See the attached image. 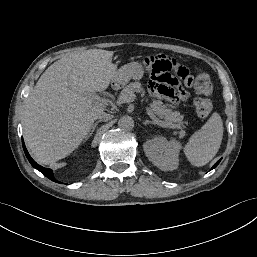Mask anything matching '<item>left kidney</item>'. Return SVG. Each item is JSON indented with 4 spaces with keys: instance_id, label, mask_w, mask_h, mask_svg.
I'll return each mask as SVG.
<instances>
[{
    "instance_id": "obj_1",
    "label": "left kidney",
    "mask_w": 257,
    "mask_h": 257,
    "mask_svg": "<svg viewBox=\"0 0 257 257\" xmlns=\"http://www.w3.org/2000/svg\"><path fill=\"white\" fill-rule=\"evenodd\" d=\"M143 148L149 161L162 171H173L178 168L181 144L177 140L155 137L148 140Z\"/></svg>"
}]
</instances>
